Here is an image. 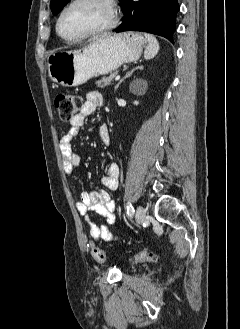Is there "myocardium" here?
Listing matches in <instances>:
<instances>
[{"instance_id": "obj_1", "label": "myocardium", "mask_w": 240, "mask_h": 329, "mask_svg": "<svg viewBox=\"0 0 240 329\" xmlns=\"http://www.w3.org/2000/svg\"><path fill=\"white\" fill-rule=\"evenodd\" d=\"M80 1L81 0H71L59 12V15L57 17L56 24H55V29H56L57 34L63 40H65L66 42L81 41V40L87 39V38L92 37V36H96V35L106 33V32L112 30L113 28H115L117 26L118 21H119V17H118V12H117V7H116V4H115V0H102V2H104L108 6L109 11H110V21H109L108 24L104 25L103 27L94 29V30H92L88 33L83 34V35L77 36V37L70 38V37L64 36L60 31V22L62 20V17H63V15L65 14V12L67 10H69L73 5H75L76 3L80 2Z\"/></svg>"}]
</instances>
